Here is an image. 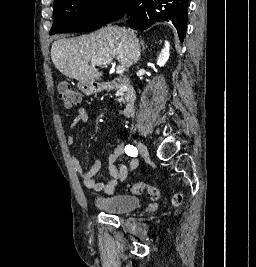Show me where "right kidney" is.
I'll use <instances>...</instances> for the list:
<instances>
[{"mask_svg": "<svg viewBox=\"0 0 256 267\" xmlns=\"http://www.w3.org/2000/svg\"><path fill=\"white\" fill-rule=\"evenodd\" d=\"M169 48L170 44L169 42H164V48L161 50L158 58H157V64L158 66H165L167 60H169Z\"/></svg>", "mask_w": 256, "mask_h": 267, "instance_id": "right-kidney-1", "label": "right kidney"}]
</instances>
